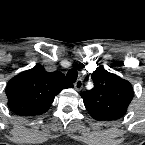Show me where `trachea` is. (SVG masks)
<instances>
[{
	"label": "trachea",
	"mask_w": 145,
	"mask_h": 145,
	"mask_svg": "<svg viewBox=\"0 0 145 145\" xmlns=\"http://www.w3.org/2000/svg\"><path fill=\"white\" fill-rule=\"evenodd\" d=\"M67 80H69L70 82H75L77 80L78 77V72L76 69L72 68L67 72Z\"/></svg>",
	"instance_id": "3493384b"
}]
</instances>
